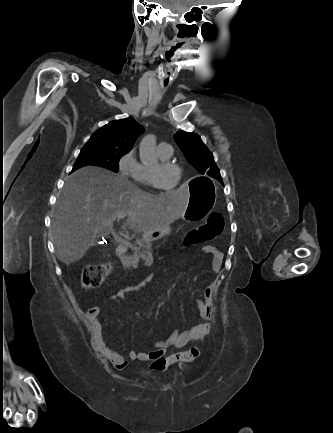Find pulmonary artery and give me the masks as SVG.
<instances>
[{
  "instance_id": "obj_1",
  "label": "pulmonary artery",
  "mask_w": 333,
  "mask_h": 433,
  "mask_svg": "<svg viewBox=\"0 0 333 433\" xmlns=\"http://www.w3.org/2000/svg\"><path fill=\"white\" fill-rule=\"evenodd\" d=\"M158 152L165 157H170L173 153V148L168 143H160L158 145Z\"/></svg>"
}]
</instances>
